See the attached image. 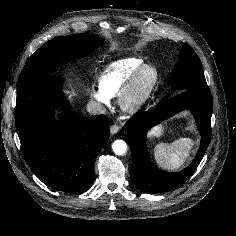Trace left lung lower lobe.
<instances>
[{"instance_id": "obj_1", "label": "left lung lower lobe", "mask_w": 236, "mask_h": 236, "mask_svg": "<svg viewBox=\"0 0 236 236\" xmlns=\"http://www.w3.org/2000/svg\"><path fill=\"white\" fill-rule=\"evenodd\" d=\"M189 109L195 116L201 134V144L195 159L184 170L176 173L158 169L150 160L146 133L173 114ZM212 96L209 87L184 90L159 107L144 112L125 124L127 140L132 153L130 169L133 184L145 193L173 191L181 187L201 162L211 139Z\"/></svg>"}]
</instances>
